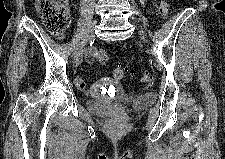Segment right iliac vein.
<instances>
[{
  "label": "right iliac vein",
  "mask_w": 225,
  "mask_h": 159,
  "mask_svg": "<svg viewBox=\"0 0 225 159\" xmlns=\"http://www.w3.org/2000/svg\"><path fill=\"white\" fill-rule=\"evenodd\" d=\"M95 27H96V21H92L90 23V25L88 26V28L84 34V37L78 46L77 51L75 52L74 60L76 63H78L79 60L81 59L82 52H83L87 42L92 39Z\"/></svg>",
  "instance_id": "63e3f726"
}]
</instances>
